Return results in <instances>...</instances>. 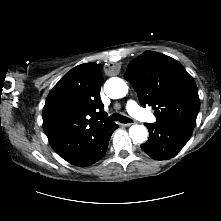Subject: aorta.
<instances>
[{
    "label": "aorta",
    "mask_w": 221,
    "mask_h": 221,
    "mask_svg": "<svg viewBox=\"0 0 221 221\" xmlns=\"http://www.w3.org/2000/svg\"><path fill=\"white\" fill-rule=\"evenodd\" d=\"M104 91L108 97L119 99L126 96L128 86L124 80L118 77H112L106 81ZM129 135L134 143H143L147 140L148 131L144 125H132L129 128Z\"/></svg>",
    "instance_id": "1"
}]
</instances>
